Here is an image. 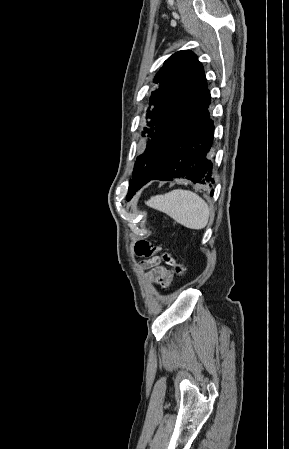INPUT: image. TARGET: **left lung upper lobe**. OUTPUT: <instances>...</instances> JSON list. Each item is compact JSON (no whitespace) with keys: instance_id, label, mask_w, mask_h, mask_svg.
Segmentation results:
<instances>
[{"instance_id":"obj_1","label":"left lung upper lobe","mask_w":289,"mask_h":449,"mask_svg":"<svg viewBox=\"0 0 289 449\" xmlns=\"http://www.w3.org/2000/svg\"><path fill=\"white\" fill-rule=\"evenodd\" d=\"M154 82L160 85L150 97L153 109H148L146 116L150 128H144L143 132V136L147 133L151 139L145 152L137 157L127 199L140 184L160 173L165 161V139L188 120L207 90L202 64L189 50L170 56Z\"/></svg>"}]
</instances>
